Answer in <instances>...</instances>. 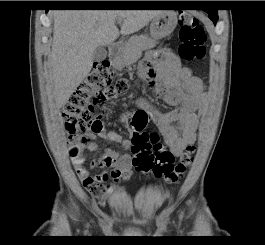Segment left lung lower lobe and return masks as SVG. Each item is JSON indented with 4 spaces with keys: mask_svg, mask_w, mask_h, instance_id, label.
<instances>
[{
    "mask_svg": "<svg viewBox=\"0 0 265 245\" xmlns=\"http://www.w3.org/2000/svg\"><path fill=\"white\" fill-rule=\"evenodd\" d=\"M205 11L208 13L209 18L215 23L217 21V19H218L217 10L208 9V10H205Z\"/></svg>",
    "mask_w": 265,
    "mask_h": 245,
    "instance_id": "left-lung-lower-lobe-1",
    "label": "left lung lower lobe"
}]
</instances>
